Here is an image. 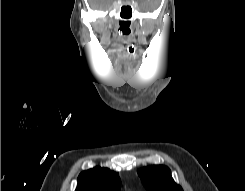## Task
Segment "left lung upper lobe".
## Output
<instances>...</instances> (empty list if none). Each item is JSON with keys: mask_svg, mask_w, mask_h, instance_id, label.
Instances as JSON below:
<instances>
[{"mask_svg": "<svg viewBox=\"0 0 245 191\" xmlns=\"http://www.w3.org/2000/svg\"><path fill=\"white\" fill-rule=\"evenodd\" d=\"M143 185L148 191H183L175 183L168 167L157 165L142 168L138 171Z\"/></svg>", "mask_w": 245, "mask_h": 191, "instance_id": "1", "label": "left lung upper lobe"}]
</instances>
